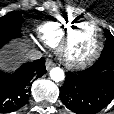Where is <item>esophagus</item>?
<instances>
[{"label": "esophagus", "instance_id": "obj_1", "mask_svg": "<svg viewBox=\"0 0 114 114\" xmlns=\"http://www.w3.org/2000/svg\"><path fill=\"white\" fill-rule=\"evenodd\" d=\"M54 66H55V63L53 61H51V60L46 61V69L47 70H50Z\"/></svg>", "mask_w": 114, "mask_h": 114}]
</instances>
